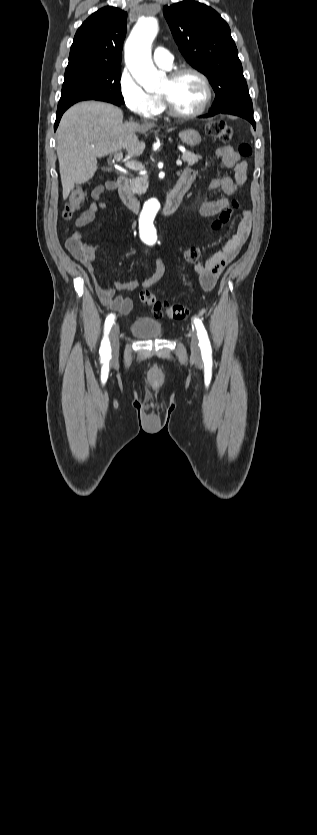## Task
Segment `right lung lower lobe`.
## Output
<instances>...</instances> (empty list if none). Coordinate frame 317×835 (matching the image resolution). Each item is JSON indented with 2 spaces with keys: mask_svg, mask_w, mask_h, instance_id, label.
Listing matches in <instances>:
<instances>
[{
  "mask_svg": "<svg viewBox=\"0 0 317 835\" xmlns=\"http://www.w3.org/2000/svg\"><path fill=\"white\" fill-rule=\"evenodd\" d=\"M95 100H99V101H104V102L113 103V104L118 105V106L122 104L120 101H118V100H116V99H113V98H110V97H101V98H97V99H95ZM69 107H70V106H67V107H62V108H58L57 113H56V121H55V125H54V130H56V129H57V126H58V124H59V121H60V119H61L62 114H63V113L65 112V110H67Z\"/></svg>",
  "mask_w": 317,
  "mask_h": 835,
  "instance_id": "98d812e1",
  "label": "right lung lower lobe"
}]
</instances>
